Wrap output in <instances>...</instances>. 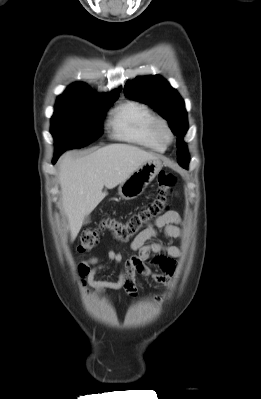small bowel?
Wrapping results in <instances>:
<instances>
[{"label": "small bowel", "instance_id": "1", "mask_svg": "<svg viewBox=\"0 0 261 399\" xmlns=\"http://www.w3.org/2000/svg\"><path fill=\"white\" fill-rule=\"evenodd\" d=\"M181 219L177 212L168 211L152 224L142 230L130 243L135 254L124 259L120 252L109 250L108 263H101L96 256L82 261L78 265V275L84 286L94 288V296L103 294L105 289H125L128 296L133 298L138 294L137 276L149 277L157 283L170 286L178 267V259L182 257L179 247L163 242L148 241L155 238L179 240L182 236ZM117 265L120 268L118 279L115 281L96 280L97 272ZM157 268L160 272H156Z\"/></svg>", "mask_w": 261, "mask_h": 399}]
</instances>
